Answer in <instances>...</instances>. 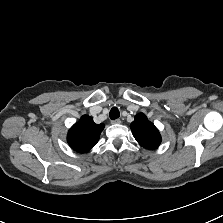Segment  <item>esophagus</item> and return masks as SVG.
Instances as JSON below:
<instances>
[{"label":"esophagus","instance_id":"1","mask_svg":"<svg viewBox=\"0 0 223 223\" xmlns=\"http://www.w3.org/2000/svg\"><path fill=\"white\" fill-rule=\"evenodd\" d=\"M120 123H121L120 119L111 120V124H120Z\"/></svg>","mask_w":223,"mask_h":223}]
</instances>
